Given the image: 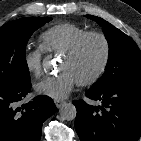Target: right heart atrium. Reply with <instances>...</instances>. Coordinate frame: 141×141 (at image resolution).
Segmentation results:
<instances>
[{
    "instance_id": "right-heart-atrium-1",
    "label": "right heart atrium",
    "mask_w": 141,
    "mask_h": 141,
    "mask_svg": "<svg viewBox=\"0 0 141 141\" xmlns=\"http://www.w3.org/2000/svg\"><path fill=\"white\" fill-rule=\"evenodd\" d=\"M44 49L28 45L23 52V64L26 70L33 76H39L42 72V59Z\"/></svg>"
}]
</instances>
